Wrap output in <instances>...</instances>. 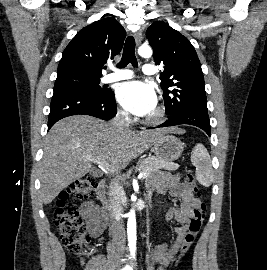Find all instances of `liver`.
Wrapping results in <instances>:
<instances>
[{
    "label": "liver",
    "instance_id": "liver-1",
    "mask_svg": "<svg viewBox=\"0 0 267 270\" xmlns=\"http://www.w3.org/2000/svg\"><path fill=\"white\" fill-rule=\"evenodd\" d=\"M178 128L134 132L117 131L111 122L74 115L58 121L49 131L40 164L41 195L45 205L91 170L89 157L108 164L107 170L125 168L133 159Z\"/></svg>",
    "mask_w": 267,
    "mask_h": 270
}]
</instances>
